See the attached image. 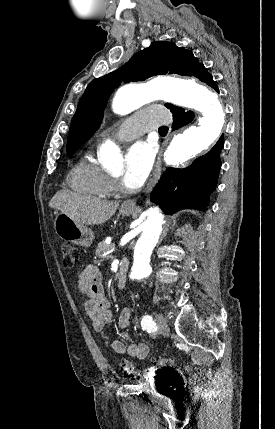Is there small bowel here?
Masks as SVG:
<instances>
[{
	"instance_id": "c3829d8e",
	"label": "small bowel",
	"mask_w": 275,
	"mask_h": 429,
	"mask_svg": "<svg viewBox=\"0 0 275 429\" xmlns=\"http://www.w3.org/2000/svg\"><path fill=\"white\" fill-rule=\"evenodd\" d=\"M102 275L98 267L92 264L83 265L76 274L77 289L82 295V303L92 328L102 332L110 325L112 314L110 303L105 296L102 286ZM132 318V310L125 307L119 314L118 326L126 329ZM117 354L126 353L132 359L143 360L149 354V347L145 343L126 345L123 340H115L111 344Z\"/></svg>"
}]
</instances>
